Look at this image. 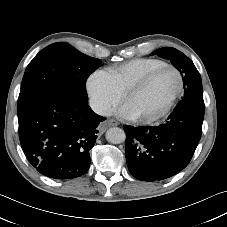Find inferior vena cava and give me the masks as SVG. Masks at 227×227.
<instances>
[{"label": "inferior vena cava", "mask_w": 227, "mask_h": 227, "mask_svg": "<svg viewBox=\"0 0 227 227\" xmlns=\"http://www.w3.org/2000/svg\"><path fill=\"white\" fill-rule=\"evenodd\" d=\"M89 105L95 113L102 116H107L111 112L110 106L100 99L96 98L91 99Z\"/></svg>", "instance_id": "602c4592"}]
</instances>
